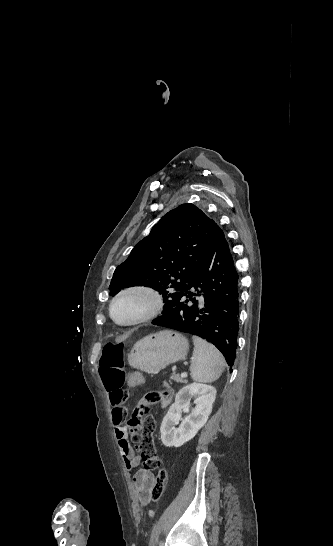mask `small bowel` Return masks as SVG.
<instances>
[{
    "label": "small bowel",
    "instance_id": "1",
    "mask_svg": "<svg viewBox=\"0 0 333 546\" xmlns=\"http://www.w3.org/2000/svg\"><path fill=\"white\" fill-rule=\"evenodd\" d=\"M137 371L138 370L135 367L132 368L131 371H126L125 374L128 376V381L125 383L126 386L140 387L141 384L144 387L147 386V381L144 380L141 383L140 379L142 377L137 374ZM123 398L124 392L122 390L109 392V399L112 405V422L115 426V437L125 466L129 470H133L139 465L140 459L128 441V430L124 425L127 409L122 404ZM115 399H120V401L115 402ZM169 401L170 398L164 399L162 401V406H166ZM156 477V474L145 469H139L133 472V487L140 506H144L148 502L150 491L156 481ZM150 516H153L152 511L150 512Z\"/></svg>",
    "mask_w": 333,
    "mask_h": 546
}]
</instances>
